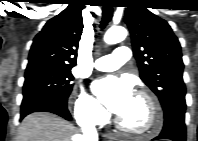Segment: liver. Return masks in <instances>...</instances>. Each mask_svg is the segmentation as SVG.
I'll list each match as a JSON object with an SVG mask.
<instances>
[{"instance_id": "6515ba94", "label": "liver", "mask_w": 198, "mask_h": 141, "mask_svg": "<svg viewBox=\"0 0 198 141\" xmlns=\"http://www.w3.org/2000/svg\"><path fill=\"white\" fill-rule=\"evenodd\" d=\"M72 124L51 113H33L19 126L17 141H78Z\"/></svg>"}]
</instances>
